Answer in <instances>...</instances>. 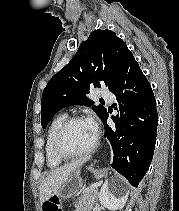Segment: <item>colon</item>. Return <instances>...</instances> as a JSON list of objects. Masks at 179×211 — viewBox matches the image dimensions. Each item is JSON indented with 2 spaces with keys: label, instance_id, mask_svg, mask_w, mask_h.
Masks as SVG:
<instances>
[{
  "label": "colon",
  "instance_id": "colon-1",
  "mask_svg": "<svg viewBox=\"0 0 179 211\" xmlns=\"http://www.w3.org/2000/svg\"><path fill=\"white\" fill-rule=\"evenodd\" d=\"M42 211H62L58 196H52L42 204Z\"/></svg>",
  "mask_w": 179,
  "mask_h": 211
}]
</instances>
